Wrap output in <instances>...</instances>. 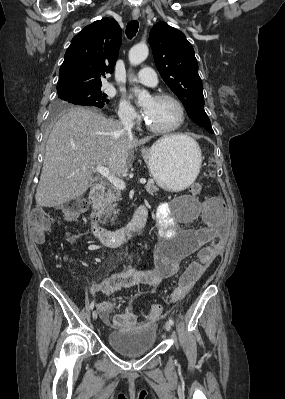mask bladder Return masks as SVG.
I'll use <instances>...</instances> for the list:
<instances>
[{"instance_id": "31cf9c89", "label": "bladder", "mask_w": 285, "mask_h": 399, "mask_svg": "<svg viewBox=\"0 0 285 399\" xmlns=\"http://www.w3.org/2000/svg\"><path fill=\"white\" fill-rule=\"evenodd\" d=\"M192 197L181 196L179 201H191ZM111 349L126 358H135L151 351L156 342V329L151 326L135 327L123 332H110L106 337Z\"/></svg>"}]
</instances>
